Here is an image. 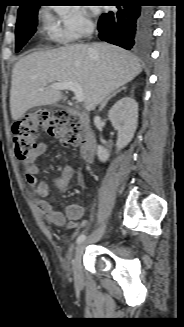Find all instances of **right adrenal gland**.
Masks as SVG:
<instances>
[{
  "instance_id": "1",
  "label": "right adrenal gland",
  "mask_w": 184,
  "mask_h": 327,
  "mask_svg": "<svg viewBox=\"0 0 184 327\" xmlns=\"http://www.w3.org/2000/svg\"><path fill=\"white\" fill-rule=\"evenodd\" d=\"M126 90V87H122L121 89H118L117 91H114L111 95H109L101 104L99 111H102V109L107 105V103L114 98L118 93H120L121 91Z\"/></svg>"
}]
</instances>
